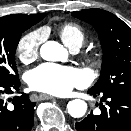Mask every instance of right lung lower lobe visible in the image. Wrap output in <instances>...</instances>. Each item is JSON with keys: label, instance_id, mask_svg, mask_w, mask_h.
Masks as SVG:
<instances>
[{"label": "right lung lower lobe", "instance_id": "right-lung-lower-lobe-1", "mask_svg": "<svg viewBox=\"0 0 131 131\" xmlns=\"http://www.w3.org/2000/svg\"><path fill=\"white\" fill-rule=\"evenodd\" d=\"M19 86L18 77L0 81V131H31L33 127L36 103L30 101L28 94L14 97L12 106L3 100L4 94L19 91Z\"/></svg>", "mask_w": 131, "mask_h": 131}]
</instances>
